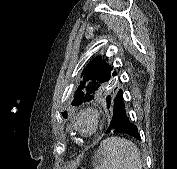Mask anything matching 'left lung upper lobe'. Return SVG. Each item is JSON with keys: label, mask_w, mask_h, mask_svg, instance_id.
Listing matches in <instances>:
<instances>
[{"label": "left lung upper lobe", "mask_w": 177, "mask_h": 169, "mask_svg": "<svg viewBox=\"0 0 177 169\" xmlns=\"http://www.w3.org/2000/svg\"><path fill=\"white\" fill-rule=\"evenodd\" d=\"M80 80V85L75 92V97L72 105H80L83 102H89L104 93L110 92L113 85L117 80V71L113 65L105 62L102 58L93 59L86 68L83 69ZM117 88L114 89L116 91ZM112 98L114 96H108ZM107 107H111L110 102Z\"/></svg>", "instance_id": "1"}]
</instances>
